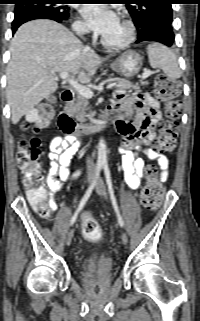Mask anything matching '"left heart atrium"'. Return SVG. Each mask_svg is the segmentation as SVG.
Instances as JSON below:
<instances>
[{"mask_svg":"<svg viewBox=\"0 0 200 321\" xmlns=\"http://www.w3.org/2000/svg\"><path fill=\"white\" fill-rule=\"evenodd\" d=\"M82 14L88 26L100 35L108 33L119 20L113 10L99 4L84 6Z\"/></svg>","mask_w":200,"mask_h":321,"instance_id":"obj_1","label":"left heart atrium"}]
</instances>
